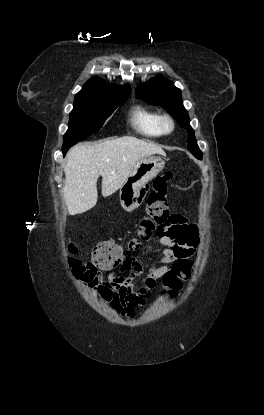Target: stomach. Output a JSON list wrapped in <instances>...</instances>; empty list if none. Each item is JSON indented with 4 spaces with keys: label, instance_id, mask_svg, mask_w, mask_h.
I'll return each mask as SVG.
<instances>
[{
    "label": "stomach",
    "instance_id": "1",
    "mask_svg": "<svg viewBox=\"0 0 264 415\" xmlns=\"http://www.w3.org/2000/svg\"><path fill=\"white\" fill-rule=\"evenodd\" d=\"M164 165L165 161L159 156H147L136 163L119 191L120 203L124 210L131 212L141 205V189L164 168Z\"/></svg>",
    "mask_w": 264,
    "mask_h": 415
}]
</instances>
